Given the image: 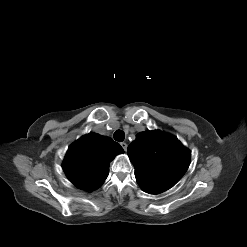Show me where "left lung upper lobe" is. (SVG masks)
Segmentation results:
<instances>
[{
    "label": "left lung upper lobe",
    "instance_id": "5c2ea615",
    "mask_svg": "<svg viewBox=\"0 0 247 247\" xmlns=\"http://www.w3.org/2000/svg\"><path fill=\"white\" fill-rule=\"evenodd\" d=\"M135 177L147 193H162L185 174L191 153L173 135L160 130L141 132L128 146Z\"/></svg>",
    "mask_w": 247,
    "mask_h": 247
}]
</instances>
